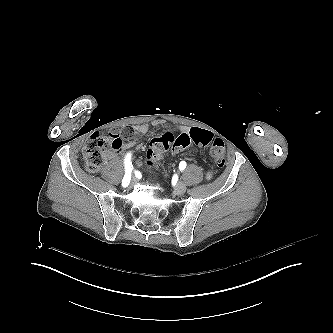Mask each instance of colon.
<instances>
[{
	"label": "colon",
	"instance_id": "1",
	"mask_svg": "<svg viewBox=\"0 0 333 333\" xmlns=\"http://www.w3.org/2000/svg\"><path fill=\"white\" fill-rule=\"evenodd\" d=\"M131 137L132 131L128 127H123L120 131L102 130L98 134L91 135L83 148V157L88 170L91 172L99 170L105 159L122 145V141H128ZM190 141L197 150L208 148L211 159L219 168L225 165L226 149L223 141L217 138V133L214 130H200L192 125L184 128V134L179 136L177 141L170 131H164L153 137L147 148L146 165L156 166L168 150L173 154L184 151Z\"/></svg>",
	"mask_w": 333,
	"mask_h": 333
}]
</instances>
